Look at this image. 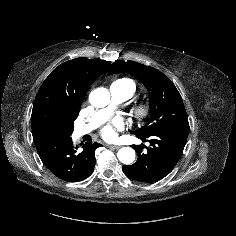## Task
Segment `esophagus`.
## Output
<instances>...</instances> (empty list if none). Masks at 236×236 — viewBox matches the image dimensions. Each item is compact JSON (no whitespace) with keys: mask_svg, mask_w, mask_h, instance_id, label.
I'll return each instance as SVG.
<instances>
[{"mask_svg":"<svg viewBox=\"0 0 236 236\" xmlns=\"http://www.w3.org/2000/svg\"><path fill=\"white\" fill-rule=\"evenodd\" d=\"M109 148H113V149H119L120 146L119 145H108Z\"/></svg>","mask_w":236,"mask_h":236,"instance_id":"34e87169","label":"esophagus"}]
</instances>
